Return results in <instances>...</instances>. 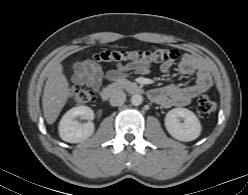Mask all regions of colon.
Segmentation results:
<instances>
[{"label":"colon","mask_w":248,"mask_h":195,"mask_svg":"<svg viewBox=\"0 0 248 195\" xmlns=\"http://www.w3.org/2000/svg\"><path fill=\"white\" fill-rule=\"evenodd\" d=\"M181 52L176 49L154 47L146 51H103L94 56L97 62L111 64H125L128 62L161 63L176 60ZM94 94L87 89L72 87L69 99L74 105H82L93 100ZM216 108L215 102L208 96H201L197 101V113L202 118L209 117Z\"/></svg>","instance_id":"colon-1"}]
</instances>
